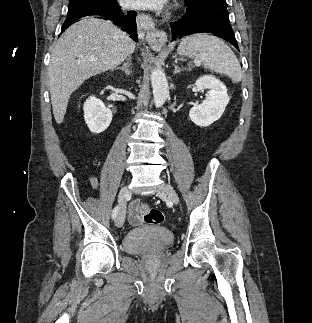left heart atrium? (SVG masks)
Segmentation results:
<instances>
[{
  "mask_svg": "<svg viewBox=\"0 0 312 323\" xmlns=\"http://www.w3.org/2000/svg\"><path fill=\"white\" fill-rule=\"evenodd\" d=\"M125 3L138 12H163L169 7V0H125Z\"/></svg>",
  "mask_w": 312,
  "mask_h": 323,
  "instance_id": "obj_1",
  "label": "left heart atrium"
}]
</instances>
